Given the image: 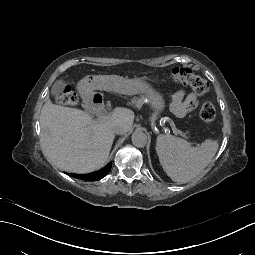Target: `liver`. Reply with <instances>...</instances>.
Returning <instances> with one entry per match:
<instances>
[{"label": "liver", "mask_w": 255, "mask_h": 255, "mask_svg": "<svg viewBox=\"0 0 255 255\" xmlns=\"http://www.w3.org/2000/svg\"><path fill=\"white\" fill-rule=\"evenodd\" d=\"M109 89L121 93L118 75H99ZM153 93L164 100L153 88ZM135 115L125 108H115L103 122L92 123L91 118L77 108L55 105L51 100L44 104L40 115L41 143L44 155L62 170L84 173L102 167L109 157L116 124L131 130Z\"/></svg>", "instance_id": "liver-1"}]
</instances>
